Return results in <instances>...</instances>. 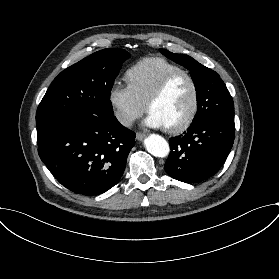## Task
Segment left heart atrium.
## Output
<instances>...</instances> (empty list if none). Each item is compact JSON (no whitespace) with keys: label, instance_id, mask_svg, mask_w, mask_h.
Returning a JSON list of instances; mask_svg holds the SVG:
<instances>
[{"label":"left heart atrium","instance_id":"1","mask_svg":"<svg viewBox=\"0 0 279 279\" xmlns=\"http://www.w3.org/2000/svg\"><path fill=\"white\" fill-rule=\"evenodd\" d=\"M144 124L150 128H164L165 122L155 113L149 111L144 120Z\"/></svg>","mask_w":279,"mask_h":279}]
</instances>
